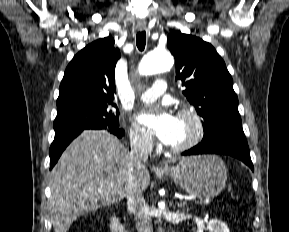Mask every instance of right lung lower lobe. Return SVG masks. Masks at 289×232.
I'll use <instances>...</instances> for the list:
<instances>
[{
  "label": "right lung lower lobe",
  "mask_w": 289,
  "mask_h": 232,
  "mask_svg": "<svg viewBox=\"0 0 289 232\" xmlns=\"http://www.w3.org/2000/svg\"><path fill=\"white\" fill-rule=\"evenodd\" d=\"M84 130L87 129L85 128L71 129L55 134L54 141L49 150L50 165H51L50 169H52L53 166L56 164L60 155L67 147V145ZM101 130L109 131L110 133L116 135L119 138H121L124 135V130L120 129L119 127H112V128L107 127L101 128Z\"/></svg>",
  "instance_id": "98d812e1"
}]
</instances>
